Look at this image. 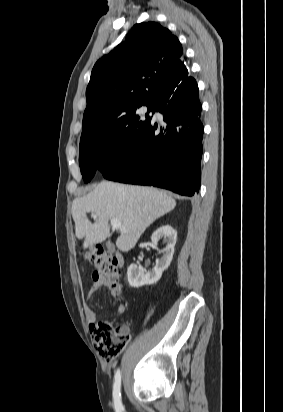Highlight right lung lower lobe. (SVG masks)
Listing matches in <instances>:
<instances>
[{
  "label": "right lung lower lobe",
  "instance_id": "98d812e1",
  "mask_svg": "<svg viewBox=\"0 0 283 412\" xmlns=\"http://www.w3.org/2000/svg\"><path fill=\"white\" fill-rule=\"evenodd\" d=\"M156 111L164 125L151 119L130 150L100 171L109 180L192 196L200 187L204 133L195 79L189 76L166 89Z\"/></svg>",
  "mask_w": 283,
  "mask_h": 412
}]
</instances>
